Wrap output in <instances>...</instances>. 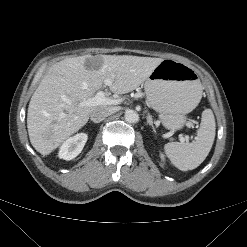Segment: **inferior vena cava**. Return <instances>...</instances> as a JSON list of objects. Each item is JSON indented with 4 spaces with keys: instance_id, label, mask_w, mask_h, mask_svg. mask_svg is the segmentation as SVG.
Returning a JSON list of instances; mask_svg holds the SVG:
<instances>
[{
    "instance_id": "1",
    "label": "inferior vena cava",
    "mask_w": 247,
    "mask_h": 247,
    "mask_svg": "<svg viewBox=\"0 0 247 247\" xmlns=\"http://www.w3.org/2000/svg\"><path fill=\"white\" fill-rule=\"evenodd\" d=\"M117 111L116 107H111L107 109H98L90 114V119L94 123H99L103 121L107 116L114 114Z\"/></svg>"
}]
</instances>
